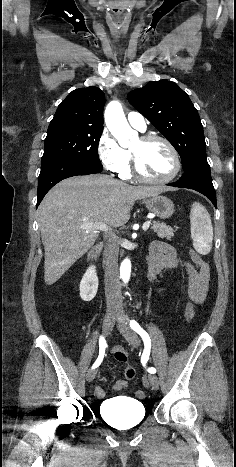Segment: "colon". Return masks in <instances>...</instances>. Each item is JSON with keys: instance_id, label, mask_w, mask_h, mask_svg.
I'll return each mask as SVG.
<instances>
[{"instance_id": "colon-1", "label": "colon", "mask_w": 236, "mask_h": 467, "mask_svg": "<svg viewBox=\"0 0 236 467\" xmlns=\"http://www.w3.org/2000/svg\"><path fill=\"white\" fill-rule=\"evenodd\" d=\"M190 256L193 261V263L199 268L203 264V260L201 256L194 250L190 251ZM194 317V309L191 303H188L186 310H185V318L187 321H191ZM115 359L119 361H124L126 359V355L122 352H118L115 355ZM138 397H143L144 393L142 391H139L137 393Z\"/></svg>"}]
</instances>
